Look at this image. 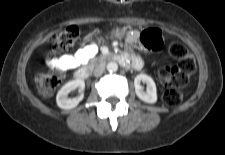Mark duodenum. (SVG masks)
I'll return each instance as SVG.
<instances>
[{"label":"duodenum","instance_id":"410a0bca","mask_svg":"<svg viewBox=\"0 0 225 155\" xmlns=\"http://www.w3.org/2000/svg\"><path fill=\"white\" fill-rule=\"evenodd\" d=\"M127 54V53H126ZM126 54H116L113 56L114 60L118 61L121 65L125 67H139L140 65L134 62L130 57H128ZM91 73L90 67H83L76 73V78L78 80H86L89 78Z\"/></svg>","mask_w":225,"mask_h":155}]
</instances>
